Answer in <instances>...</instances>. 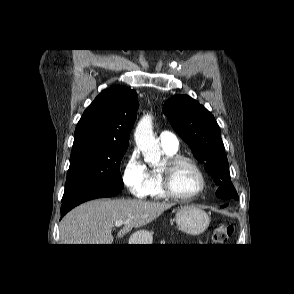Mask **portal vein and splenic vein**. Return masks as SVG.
<instances>
[{
    "label": "portal vein and splenic vein",
    "instance_id": "18ae733b",
    "mask_svg": "<svg viewBox=\"0 0 294 294\" xmlns=\"http://www.w3.org/2000/svg\"><path fill=\"white\" fill-rule=\"evenodd\" d=\"M124 224V222H122V221H117V222H115V226L116 227H121L122 225Z\"/></svg>",
    "mask_w": 294,
    "mask_h": 294
}]
</instances>
